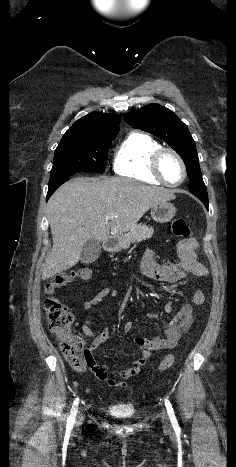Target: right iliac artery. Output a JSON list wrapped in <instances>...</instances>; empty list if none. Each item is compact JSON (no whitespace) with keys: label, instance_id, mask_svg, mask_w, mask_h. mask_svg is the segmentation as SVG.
Segmentation results:
<instances>
[{"label":"right iliac artery","instance_id":"82829eb1","mask_svg":"<svg viewBox=\"0 0 236 467\" xmlns=\"http://www.w3.org/2000/svg\"><path fill=\"white\" fill-rule=\"evenodd\" d=\"M78 405H79V398H76L75 401L73 402V405H72V408H71V411H70L68 424H74L75 416H76L77 410H78Z\"/></svg>","mask_w":236,"mask_h":467}]
</instances>
